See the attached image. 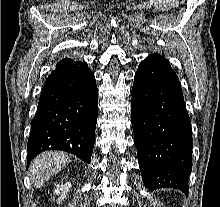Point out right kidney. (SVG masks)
I'll list each match as a JSON object with an SVG mask.
<instances>
[{
	"label": "right kidney",
	"instance_id": "ca27d5eb",
	"mask_svg": "<svg viewBox=\"0 0 220 207\" xmlns=\"http://www.w3.org/2000/svg\"><path fill=\"white\" fill-rule=\"evenodd\" d=\"M70 188H71V183L70 182H67V183L61 182V184H58L56 186V189H55L54 193L57 196H59L58 199H57L58 204H60V202H62V200L64 201V199L68 195V192H69Z\"/></svg>",
	"mask_w": 220,
	"mask_h": 207
}]
</instances>
